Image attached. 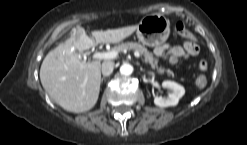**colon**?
I'll return each instance as SVG.
<instances>
[{
	"instance_id": "colon-1",
	"label": "colon",
	"mask_w": 247,
	"mask_h": 145,
	"mask_svg": "<svg viewBox=\"0 0 247 145\" xmlns=\"http://www.w3.org/2000/svg\"><path fill=\"white\" fill-rule=\"evenodd\" d=\"M175 31L182 35L183 37L185 38H188V39H191V40H194V35L192 32H190L189 30L185 29L184 25L182 23H177L174 27ZM199 69L202 71V72H205L207 69H208V63L206 60H201L199 62ZM196 85L199 87V88H203L207 85V77L205 75H200L197 77L196 79Z\"/></svg>"
}]
</instances>
